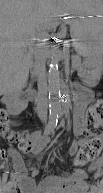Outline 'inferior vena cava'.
Returning <instances> with one entry per match:
<instances>
[{"label":"inferior vena cava","instance_id":"1","mask_svg":"<svg viewBox=\"0 0 103 193\" xmlns=\"http://www.w3.org/2000/svg\"><path fill=\"white\" fill-rule=\"evenodd\" d=\"M36 69L38 78V90H39V101H38V114L40 116L47 115V103H46V75H45V63L41 55L40 47L37 48L36 53Z\"/></svg>","mask_w":103,"mask_h":193}]
</instances>
